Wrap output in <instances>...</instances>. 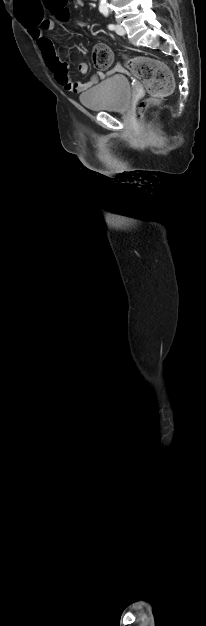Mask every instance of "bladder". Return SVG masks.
<instances>
[{"instance_id":"obj_1","label":"bladder","mask_w":206,"mask_h":626,"mask_svg":"<svg viewBox=\"0 0 206 626\" xmlns=\"http://www.w3.org/2000/svg\"><path fill=\"white\" fill-rule=\"evenodd\" d=\"M132 89L123 75H113L80 96L81 104L91 111H124L130 105Z\"/></svg>"}]
</instances>
